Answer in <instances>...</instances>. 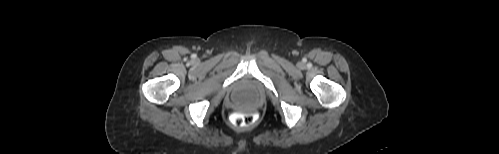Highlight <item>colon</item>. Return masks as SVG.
I'll return each instance as SVG.
<instances>
[{
    "mask_svg": "<svg viewBox=\"0 0 499 154\" xmlns=\"http://www.w3.org/2000/svg\"><path fill=\"white\" fill-rule=\"evenodd\" d=\"M254 121V115L252 113L243 111H234L231 115V123L237 127L242 128L250 125Z\"/></svg>",
    "mask_w": 499,
    "mask_h": 154,
    "instance_id": "obj_1",
    "label": "colon"
}]
</instances>
